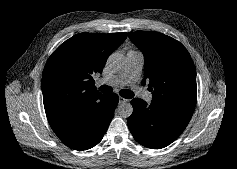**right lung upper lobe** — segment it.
<instances>
[{
	"label": "right lung upper lobe",
	"instance_id": "right-lung-upper-lobe-1",
	"mask_svg": "<svg viewBox=\"0 0 237 169\" xmlns=\"http://www.w3.org/2000/svg\"><path fill=\"white\" fill-rule=\"evenodd\" d=\"M126 37L127 33H80L52 53L42 76L44 108L49 122L97 91L92 75L102 72L109 55Z\"/></svg>",
	"mask_w": 237,
	"mask_h": 169
}]
</instances>
